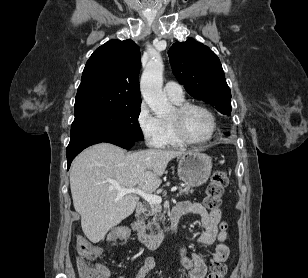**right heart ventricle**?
Returning a JSON list of instances; mask_svg holds the SVG:
<instances>
[{
	"instance_id": "1",
	"label": "right heart ventricle",
	"mask_w": 308,
	"mask_h": 278,
	"mask_svg": "<svg viewBox=\"0 0 308 278\" xmlns=\"http://www.w3.org/2000/svg\"><path fill=\"white\" fill-rule=\"evenodd\" d=\"M175 105H180L183 103V100L175 101L171 100ZM164 131H165V139L163 146L167 147H180L185 145L174 133L171 125L169 124L168 120H162Z\"/></svg>"
}]
</instances>
